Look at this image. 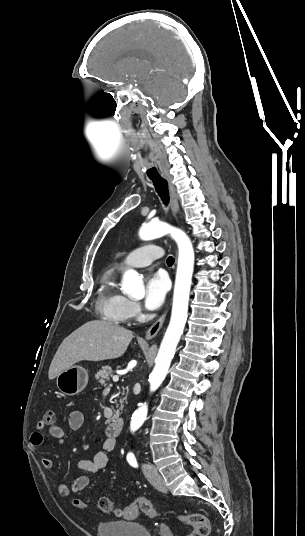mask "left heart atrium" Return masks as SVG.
<instances>
[{
  "label": "left heart atrium",
  "mask_w": 305,
  "mask_h": 536,
  "mask_svg": "<svg viewBox=\"0 0 305 536\" xmlns=\"http://www.w3.org/2000/svg\"><path fill=\"white\" fill-rule=\"evenodd\" d=\"M168 284L165 276L161 273H153L146 278L145 307L149 310L158 309L166 296Z\"/></svg>",
  "instance_id": "obj_1"
}]
</instances>
